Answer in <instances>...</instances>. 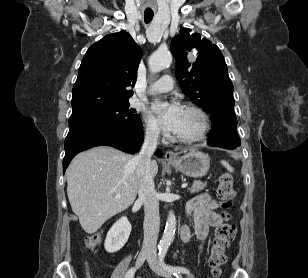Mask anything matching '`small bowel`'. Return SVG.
Wrapping results in <instances>:
<instances>
[{
    "mask_svg": "<svg viewBox=\"0 0 308 278\" xmlns=\"http://www.w3.org/2000/svg\"><path fill=\"white\" fill-rule=\"evenodd\" d=\"M218 204L209 194H200L191 199L186 206L187 216L194 221L195 234L202 244L209 235L211 227L219 226L222 223V216L217 212ZM180 236L183 242L191 237V230L188 225L181 228Z\"/></svg>",
    "mask_w": 308,
    "mask_h": 278,
    "instance_id": "c3829d8e",
    "label": "small bowel"
}]
</instances>
